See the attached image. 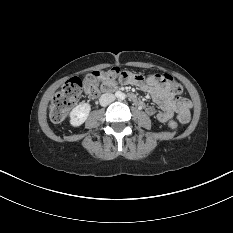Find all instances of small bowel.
Returning <instances> with one entry per match:
<instances>
[{
  "label": "small bowel",
  "instance_id": "1",
  "mask_svg": "<svg viewBox=\"0 0 233 233\" xmlns=\"http://www.w3.org/2000/svg\"><path fill=\"white\" fill-rule=\"evenodd\" d=\"M116 79L122 85L132 84L150 93L154 102L160 107L157 111L154 107H144L145 112L150 116H155L161 123H167L174 116H177L181 124H185L190 119L191 102L187 98H177L173 95L170 85L162 81L158 76H153L145 80L142 73L132 74L123 71L117 74ZM142 106V103L139 104Z\"/></svg>",
  "mask_w": 233,
  "mask_h": 233
}]
</instances>
